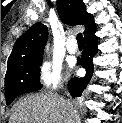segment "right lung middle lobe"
Listing matches in <instances>:
<instances>
[{
    "mask_svg": "<svg viewBox=\"0 0 122 123\" xmlns=\"http://www.w3.org/2000/svg\"><path fill=\"white\" fill-rule=\"evenodd\" d=\"M42 55L28 59L7 69L5 76L6 103L10 104L17 96L42 88L39 81Z\"/></svg>",
    "mask_w": 122,
    "mask_h": 123,
    "instance_id": "obj_1",
    "label": "right lung middle lobe"
}]
</instances>
